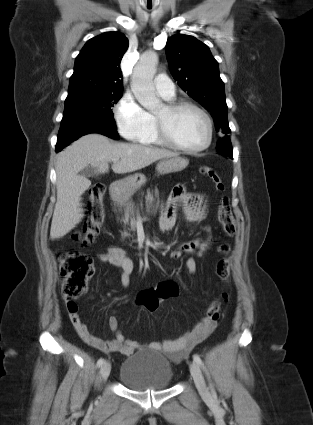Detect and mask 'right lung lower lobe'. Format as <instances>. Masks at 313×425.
<instances>
[{
  "instance_id": "98d812e1",
  "label": "right lung lower lobe",
  "mask_w": 313,
  "mask_h": 425,
  "mask_svg": "<svg viewBox=\"0 0 313 425\" xmlns=\"http://www.w3.org/2000/svg\"><path fill=\"white\" fill-rule=\"evenodd\" d=\"M90 133H99L119 139L113 118L79 110H70L64 113L57 138L56 152L61 151L79 137Z\"/></svg>"
}]
</instances>
